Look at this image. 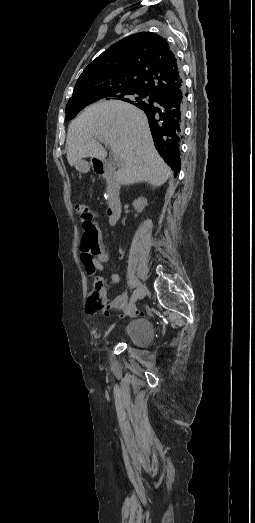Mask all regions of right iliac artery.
<instances>
[{
    "instance_id": "1",
    "label": "right iliac artery",
    "mask_w": 255,
    "mask_h": 523,
    "mask_svg": "<svg viewBox=\"0 0 255 523\" xmlns=\"http://www.w3.org/2000/svg\"><path fill=\"white\" fill-rule=\"evenodd\" d=\"M136 299H137V290H135V291L133 292L130 301H131V302H134V301H136Z\"/></svg>"
}]
</instances>
